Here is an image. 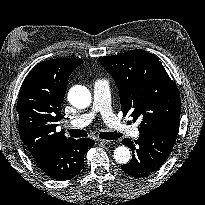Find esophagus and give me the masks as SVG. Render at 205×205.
I'll use <instances>...</instances> for the list:
<instances>
[{
    "mask_svg": "<svg viewBox=\"0 0 205 205\" xmlns=\"http://www.w3.org/2000/svg\"><path fill=\"white\" fill-rule=\"evenodd\" d=\"M97 141L100 143V144H103V145H108L111 143V141L109 140H104V139H97Z\"/></svg>",
    "mask_w": 205,
    "mask_h": 205,
    "instance_id": "obj_1",
    "label": "esophagus"
}]
</instances>
